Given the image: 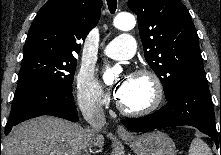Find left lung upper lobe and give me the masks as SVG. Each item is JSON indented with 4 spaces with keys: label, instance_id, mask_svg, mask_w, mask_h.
<instances>
[{
    "label": "left lung upper lobe",
    "instance_id": "5c2ea615",
    "mask_svg": "<svg viewBox=\"0 0 221 155\" xmlns=\"http://www.w3.org/2000/svg\"><path fill=\"white\" fill-rule=\"evenodd\" d=\"M137 14L145 59L169 100L183 85L206 80L190 13L179 0H129Z\"/></svg>",
    "mask_w": 221,
    "mask_h": 155
}]
</instances>
